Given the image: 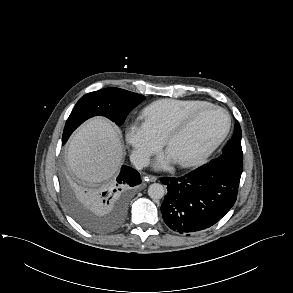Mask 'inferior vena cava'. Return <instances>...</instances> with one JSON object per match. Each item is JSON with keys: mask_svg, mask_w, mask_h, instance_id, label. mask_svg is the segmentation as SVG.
<instances>
[{"mask_svg": "<svg viewBox=\"0 0 293 293\" xmlns=\"http://www.w3.org/2000/svg\"><path fill=\"white\" fill-rule=\"evenodd\" d=\"M130 160L136 169L140 170L149 164V157L146 154L140 152H133Z\"/></svg>", "mask_w": 293, "mask_h": 293, "instance_id": "inferior-vena-cava-1", "label": "inferior vena cava"}]
</instances>
